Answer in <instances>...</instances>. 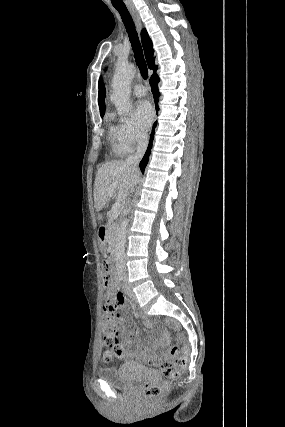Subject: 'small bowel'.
<instances>
[{"label": "small bowel", "mask_w": 285, "mask_h": 427, "mask_svg": "<svg viewBox=\"0 0 285 427\" xmlns=\"http://www.w3.org/2000/svg\"><path fill=\"white\" fill-rule=\"evenodd\" d=\"M117 308H119V312L116 314V324L121 327V332L123 336V343L125 346V350L122 354L117 356L119 361H127V362H136V363H144L147 362V355L151 352L149 350H141L138 342L135 338V333L128 331L125 329L124 322L125 317L127 315L128 310L130 309V303L128 298L123 294L119 293L117 295ZM105 313V309H104Z\"/></svg>", "instance_id": "small-bowel-1"}]
</instances>
